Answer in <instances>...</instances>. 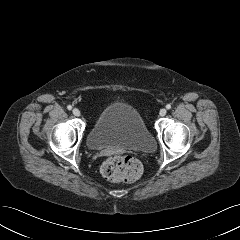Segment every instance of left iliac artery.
<instances>
[{
  "mask_svg": "<svg viewBox=\"0 0 240 240\" xmlns=\"http://www.w3.org/2000/svg\"><path fill=\"white\" fill-rule=\"evenodd\" d=\"M166 108H167V109H171V105H170V104H167V105H166Z\"/></svg>",
  "mask_w": 240,
  "mask_h": 240,
  "instance_id": "44dca946",
  "label": "left iliac artery"
}]
</instances>
